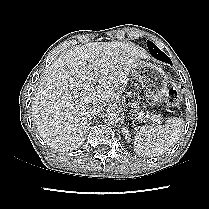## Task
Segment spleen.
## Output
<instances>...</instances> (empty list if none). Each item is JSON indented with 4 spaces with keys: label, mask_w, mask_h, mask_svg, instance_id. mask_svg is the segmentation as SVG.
I'll list each match as a JSON object with an SVG mask.
<instances>
[{
    "label": "spleen",
    "mask_w": 209,
    "mask_h": 209,
    "mask_svg": "<svg viewBox=\"0 0 209 209\" xmlns=\"http://www.w3.org/2000/svg\"><path fill=\"white\" fill-rule=\"evenodd\" d=\"M185 122L182 118H168L165 125L141 126L134 137V152L142 157L159 156L180 139Z\"/></svg>",
    "instance_id": "3e777b00"
}]
</instances>
